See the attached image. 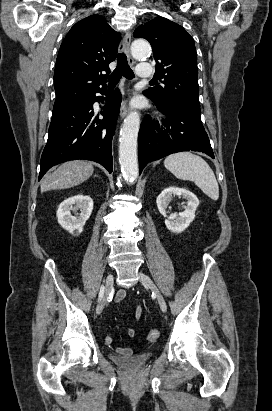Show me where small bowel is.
Listing matches in <instances>:
<instances>
[{"mask_svg": "<svg viewBox=\"0 0 272 411\" xmlns=\"http://www.w3.org/2000/svg\"><path fill=\"white\" fill-rule=\"evenodd\" d=\"M128 296V293L126 290L121 289L116 293L115 296V301L116 302H121L122 300H124L126 297ZM141 314H142V308L140 305H137L135 308V313H134V319L135 320H139L141 318ZM136 334L135 329L132 327H128L127 328V335L132 338L134 337ZM107 339V340H106ZM105 342L107 344H110L112 342V338L110 336H107L105 338ZM117 352L122 354V355H130L132 353V350L130 348H118Z\"/></svg>", "mask_w": 272, "mask_h": 411, "instance_id": "small-bowel-1", "label": "small bowel"}]
</instances>
